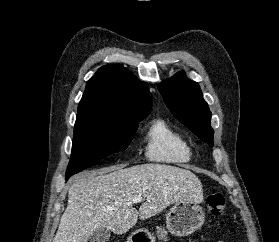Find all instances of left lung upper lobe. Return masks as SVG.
Wrapping results in <instances>:
<instances>
[{
    "label": "left lung upper lobe",
    "instance_id": "1",
    "mask_svg": "<svg viewBox=\"0 0 279 242\" xmlns=\"http://www.w3.org/2000/svg\"><path fill=\"white\" fill-rule=\"evenodd\" d=\"M158 90L171 113L212 146L214 131L210 125L211 112L198 83L188 79L184 72H178L160 83Z\"/></svg>",
    "mask_w": 279,
    "mask_h": 242
}]
</instances>
